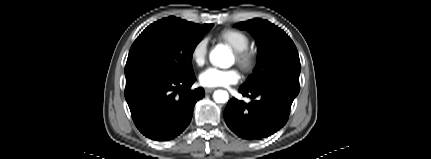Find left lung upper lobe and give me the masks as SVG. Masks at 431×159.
Masks as SVG:
<instances>
[{
  "label": "left lung upper lobe",
  "mask_w": 431,
  "mask_h": 159,
  "mask_svg": "<svg viewBox=\"0 0 431 159\" xmlns=\"http://www.w3.org/2000/svg\"><path fill=\"white\" fill-rule=\"evenodd\" d=\"M236 26L250 32L258 44L257 66L242 87L256 88L276 80L299 85L301 66L298 51L283 30L259 18L240 22Z\"/></svg>",
  "instance_id": "left-lung-upper-lobe-1"
}]
</instances>
